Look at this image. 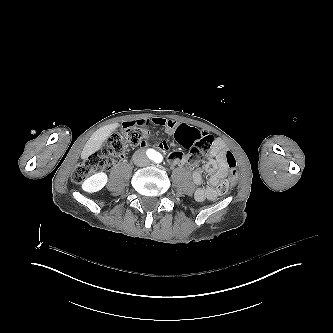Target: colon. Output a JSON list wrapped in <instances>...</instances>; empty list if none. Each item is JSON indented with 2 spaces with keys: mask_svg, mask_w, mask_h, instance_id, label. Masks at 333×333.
Returning <instances> with one entry per match:
<instances>
[{
  "mask_svg": "<svg viewBox=\"0 0 333 333\" xmlns=\"http://www.w3.org/2000/svg\"><path fill=\"white\" fill-rule=\"evenodd\" d=\"M171 136L178 143L191 149L190 159L193 162L202 160L214 143L213 136L205 129L198 128L192 131L185 123H182L179 130H171ZM148 138L149 133L141 128L120 129V134L112 135L104 142L101 154L91 155L84 163L74 168L71 179L79 182L93 174L112 168L125 156L128 145L137 146L146 143ZM225 161L230 169V176L228 181L221 185L222 192L234 186L239 177L234 156L226 152Z\"/></svg>",
  "mask_w": 333,
  "mask_h": 333,
  "instance_id": "colon-1",
  "label": "colon"
}]
</instances>
